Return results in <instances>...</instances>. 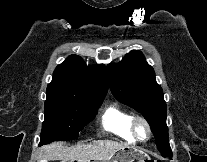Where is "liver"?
Here are the masks:
<instances>
[{
	"label": "liver",
	"mask_w": 207,
	"mask_h": 162,
	"mask_svg": "<svg viewBox=\"0 0 207 162\" xmlns=\"http://www.w3.org/2000/svg\"><path fill=\"white\" fill-rule=\"evenodd\" d=\"M125 143L113 140H97L87 144L66 146L60 142L49 143L40 149V162L60 160L61 162H91L108 161L120 149L126 147Z\"/></svg>",
	"instance_id": "obj_1"
}]
</instances>
